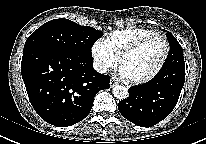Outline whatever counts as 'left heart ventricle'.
Wrapping results in <instances>:
<instances>
[{"label": "left heart ventricle", "mask_w": 206, "mask_h": 144, "mask_svg": "<svg viewBox=\"0 0 206 144\" xmlns=\"http://www.w3.org/2000/svg\"><path fill=\"white\" fill-rule=\"evenodd\" d=\"M163 54V42L159 39H154L137 52L125 58L121 67L124 68L130 79H140L155 70Z\"/></svg>", "instance_id": "1"}]
</instances>
